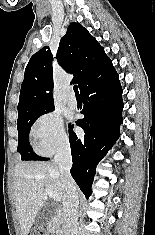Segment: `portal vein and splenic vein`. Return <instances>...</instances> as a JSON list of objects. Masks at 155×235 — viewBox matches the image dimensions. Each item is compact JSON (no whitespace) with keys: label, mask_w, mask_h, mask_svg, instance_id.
Segmentation results:
<instances>
[{"label":"portal vein and splenic vein","mask_w":155,"mask_h":235,"mask_svg":"<svg viewBox=\"0 0 155 235\" xmlns=\"http://www.w3.org/2000/svg\"><path fill=\"white\" fill-rule=\"evenodd\" d=\"M45 191L48 194V196L50 198H52L54 201H60L61 200V197L57 192H54L53 190H50V189H47V188L45 189Z\"/></svg>","instance_id":"obj_1"}]
</instances>
